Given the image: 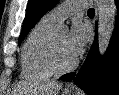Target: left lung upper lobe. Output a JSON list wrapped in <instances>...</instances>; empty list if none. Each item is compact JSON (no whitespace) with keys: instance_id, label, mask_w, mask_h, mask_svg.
<instances>
[{"instance_id":"left-lung-upper-lobe-1","label":"left lung upper lobe","mask_w":119,"mask_h":95,"mask_svg":"<svg viewBox=\"0 0 119 95\" xmlns=\"http://www.w3.org/2000/svg\"><path fill=\"white\" fill-rule=\"evenodd\" d=\"M59 0H29L26 9V16L23 23L22 32L19 37V45L28 34L30 29L40 20V18L51 10Z\"/></svg>"}]
</instances>
